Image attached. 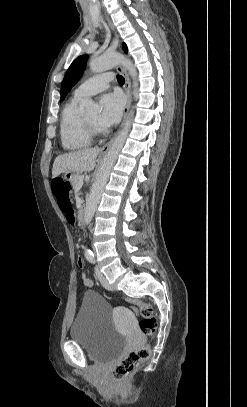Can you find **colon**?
<instances>
[{
  "label": "colon",
  "mask_w": 247,
  "mask_h": 407,
  "mask_svg": "<svg viewBox=\"0 0 247 407\" xmlns=\"http://www.w3.org/2000/svg\"><path fill=\"white\" fill-rule=\"evenodd\" d=\"M52 191L56 197L60 210L65 214L72 209L71 192L72 187L69 182L57 178L52 181ZM126 300L132 305L137 314L140 315V331L149 337H153L157 331V320L153 314V308L150 304L136 298L127 297ZM149 345L129 352L122 361L112 370V379L116 382L125 380L134 370H136L150 356Z\"/></svg>",
  "instance_id": "1"
}]
</instances>
